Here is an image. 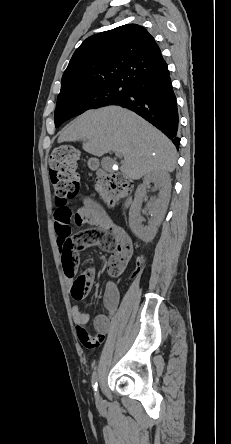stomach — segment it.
I'll return each mask as SVG.
<instances>
[{"label":"stomach","mask_w":231,"mask_h":444,"mask_svg":"<svg viewBox=\"0 0 231 444\" xmlns=\"http://www.w3.org/2000/svg\"><path fill=\"white\" fill-rule=\"evenodd\" d=\"M89 164H90V166L92 167V168H96V163H95V161H93V160H91L90 162H89Z\"/></svg>","instance_id":"0dacf381"}]
</instances>
